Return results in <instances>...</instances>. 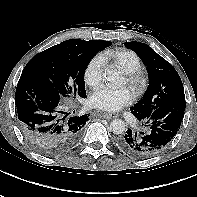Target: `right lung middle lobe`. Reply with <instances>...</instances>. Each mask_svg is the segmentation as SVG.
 <instances>
[{"instance_id":"1","label":"right lung middle lobe","mask_w":197,"mask_h":197,"mask_svg":"<svg viewBox=\"0 0 197 197\" xmlns=\"http://www.w3.org/2000/svg\"><path fill=\"white\" fill-rule=\"evenodd\" d=\"M110 41L82 40L76 46L62 43L34 56L25 66L21 77L33 78L54 87L61 99L86 97L84 74L90 60Z\"/></svg>"}]
</instances>
